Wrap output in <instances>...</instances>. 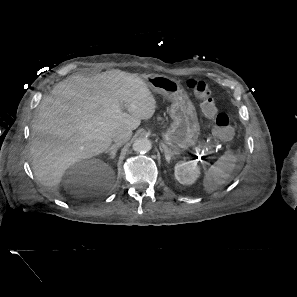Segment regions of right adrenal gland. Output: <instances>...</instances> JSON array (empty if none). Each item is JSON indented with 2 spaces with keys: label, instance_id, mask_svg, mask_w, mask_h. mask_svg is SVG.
<instances>
[{
  "label": "right adrenal gland",
  "instance_id": "2a0ac1e0",
  "mask_svg": "<svg viewBox=\"0 0 297 297\" xmlns=\"http://www.w3.org/2000/svg\"><path fill=\"white\" fill-rule=\"evenodd\" d=\"M119 147H120L119 145L114 144L109 149H107L105 151V153H109L110 154V158L113 159L115 157L116 152H117V150H118Z\"/></svg>",
  "mask_w": 297,
  "mask_h": 297
}]
</instances>
